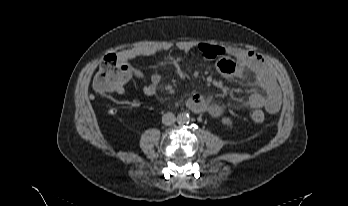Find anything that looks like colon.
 I'll use <instances>...</instances> for the list:
<instances>
[{
  "label": "colon",
  "instance_id": "1",
  "mask_svg": "<svg viewBox=\"0 0 348 206\" xmlns=\"http://www.w3.org/2000/svg\"><path fill=\"white\" fill-rule=\"evenodd\" d=\"M130 80L131 74L128 66L122 63L116 54L111 53L103 57L93 85L98 93L109 94L123 91L129 85ZM115 112L114 108L109 110L111 114ZM251 117L258 124L264 122L266 118L265 113L260 109H255Z\"/></svg>",
  "mask_w": 348,
  "mask_h": 206
}]
</instances>
